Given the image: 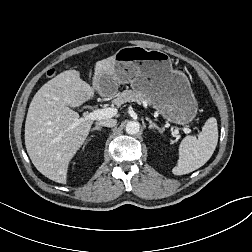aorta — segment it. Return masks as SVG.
<instances>
[{"instance_id": "762f6f07", "label": "aorta", "mask_w": 252, "mask_h": 252, "mask_svg": "<svg viewBox=\"0 0 252 252\" xmlns=\"http://www.w3.org/2000/svg\"><path fill=\"white\" fill-rule=\"evenodd\" d=\"M126 133L130 135L137 134L140 130V124L137 121H130L126 124Z\"/></svg>"}]
</instances>
